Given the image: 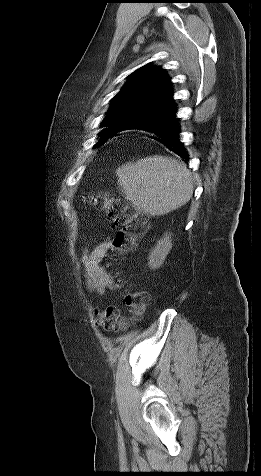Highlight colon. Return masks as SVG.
<instances>
[{
    "mask_svg": "<svg viewBox=\"0 0 261 476\" xmlns=\"http://www.w3.org/2000/svg\"><path fill=\"white\" fill-rule=\"evenodd\" d=\"M89 202L118 228L112 240L111 257L118 258L133 251L138 239L148 230L147 218L109 193L93 195L89 198ZM124 301L130 318L138 319L148 306L149 296L145 291L134 290L126 293ZM96 316L97 325L108 332L119 331L127 324V318L123 317L114 306L96 310Z\"/></svg>",
    "mask_w": 261,
    "mask_h": 476,
    "instance_id": "colon-1",
    "label": "colon"
}]
</instances>
